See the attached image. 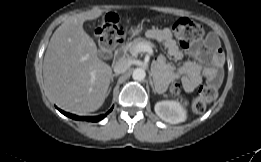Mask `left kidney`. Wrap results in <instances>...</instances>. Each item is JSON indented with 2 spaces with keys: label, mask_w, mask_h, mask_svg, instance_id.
Instances as JSON below:
<instances>
[{
  "label": "left kidney",
  "mask_w": 261,
  "mask_h": 162,
  "mask_svg": "<svg viewBox=\"0 0 261 162\" xmlns=\"http://www.w3.org/2000/svg\"><path fill=\"white\" fill-rule=\"evenodd\" d=\"M156 114L165 122L178 124L187 118V112L178 101H161L155 104Z\"/></svg>",
  "instance_id": "1"
}]
</instances>
